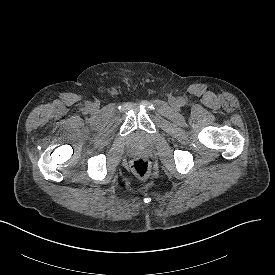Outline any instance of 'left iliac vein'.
<instances>
[{"label":"left iliac vein","mask_w":275,"mask_h":275,"mask_svg":"<svg viewBox=\"0 0 275 275\" xmlns=\"http://www.w3.org/2000/svg\"><path fill=\"white\" fill-rule=\"evenodd\" d=\"M169 103L175 109L179 107V102L174 97L169 98Z\"/></svg>","instance_id":"left-iliac-vein-1"}]
</instances>
